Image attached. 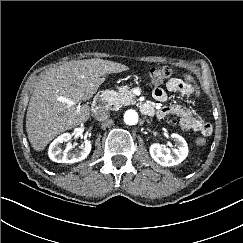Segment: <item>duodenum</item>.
Wrapping results in <instances>:
<instances>
[{
    "mask_svg": "<svg viewBox=\"0 0 243 243\" xmlns=\"http://www.w3.org/2000/svg\"><path fill=\"white\" fill-rule=\"evenodd\" d=\"M107 104V93L106 92H100L98 93L93 102H92V110L94 112H98L106 107ZM142 110L145 112H150V108L148 105L144 104L142 106Z\"/></svg>",
    "mask_w": 243,
    "mask_h": 243,
    "instance_id": "obj_1",
    "label": "duodenum"
}]
</instances>
